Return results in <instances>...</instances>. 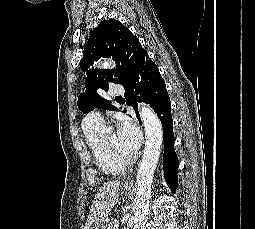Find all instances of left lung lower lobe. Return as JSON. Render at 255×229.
<instances>
[{
  "label": "left lung lower lobe",
  "instance_id": "1",
  "mask_svg": "<svg viewBox=\"0 0 255 229\" xmlns=\"http://www.w3.org/2000/svg\"><path fill=\"white\" fill-rule=\"evenodd\" d=\"M127 104L133 106L137 118L140 116L137 109V102H145L157 113L163 126L164 154L163 165L165 180L173 193L178 185V158L174 151L173 120L171 116V102L166 90V85L160 75L156 64L145 52L129 80L123 85Z\"/></svg>",
  "mask_w": 255,
  "mask_h": 229
}]
</instances>
